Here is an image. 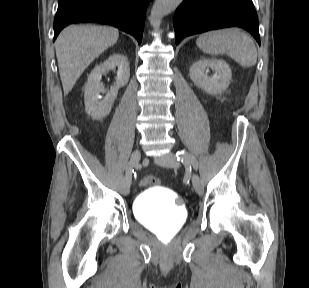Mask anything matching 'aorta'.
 Returning a JSON list of instances; mask_svg holds the SVG:
<instances>
[{"instance_id":"aorta-1","label":"aorta","mask_w":309,"mask_h":288,"mask_svg":"<svg viewBox=\"0 0 309 288\" xmlns=\"http://www.w3.org/2000/svg\"><path fill=\"white\" fill-rule=\"evenodd\" d=\"M182 0H155L150 14V23L154 28H158L162 18L173 12Z\"/></svg>"}]
</instances>
